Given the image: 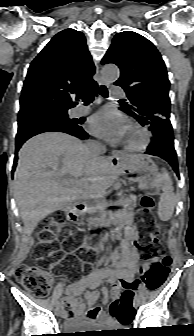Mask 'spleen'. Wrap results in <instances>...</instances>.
I'll return each mask as SVG.
<instances>
[{
  "mask_svg": "<svg viewBox=\"0 0 194 336\" xmlns=\"http://www.w3.org/2000/svg\"><path fill=\"white\" fill-rule=\"evenodd\" d=\"M163 179V193L160 197L158 205V215L162 221H168L174 212L177 203V197L173 192L172 180L167 172L162 173Z\"/></svg>",
  "mask_w": 194,
  "mask_h": 336,
  "instance_id": "spleen-1",
  "label": "spleen"
}]
</instances>
